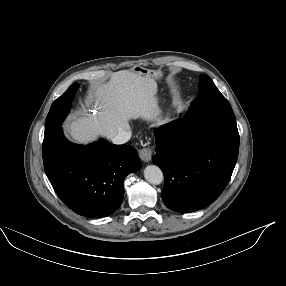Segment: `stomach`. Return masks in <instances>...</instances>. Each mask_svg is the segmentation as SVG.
Wrapping results in <instances>:
<instances>
[{"label":"stomach","mask_w":286,"mask_h":286,"mask_svg":"<svg viewBox=\"0 0 286 286\" xmlns=\"http://www.w3.org/2000/svg\"><path fill=\"white\" fill-rule=\"evenodd\" d=\"M134 71L139 73V74H141V75L152 76L153 78H160L162 76V74L160 72H158V71L148 70V69H145V68L140 67V66H136Z\"/></svg>","instance_id":"obj_1"}]
</instances>
